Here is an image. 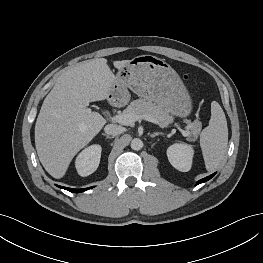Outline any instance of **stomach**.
<instances>
[{
    "label": "stomach",
    "instance_id": "1",
    "mask_svg": "<svg viewBox=\"0 0 263 263\" xmlns=\"http://www.w3.org/2000/svg\"><path fill=\"white\" fill-rule=\"evenodd\" d=\"M128 89L161 105L168 113L185 118L192 112V99L176 71L163 59L152 55L134 57L118 71L110 96L129 98Z\"/></svg>",
    "mask_w": 263,
    "mask_h": 263
}]
</instances>
